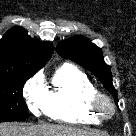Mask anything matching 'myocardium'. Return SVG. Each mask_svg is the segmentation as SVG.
<instances>
[{
	"mask_svg": "<svg viewBox=\"0 0 136 136\" xmlns=\"http://www.w3.org/2000/svg\"><path fill=\"white\" fill-rule=\"evenodd\" d=\"M105 105H107L109 108V111L107 112L104 110ZM88 106L93 114L100 120L110 119L116 111L115 103L112 98L102 92H97L96 94H94L90 98Z\"/></svg>",
	"mask_w": 136,
	"mask_h": 136,
	"instance_id": "1",
	"label": "myocardium"
}]
</instances>
